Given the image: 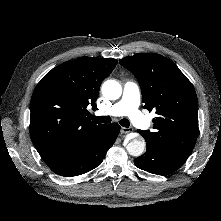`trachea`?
<instances>
[{"label": "trachea", "mask_w": 221, "mask_h": 221, "mask_svg": "<svg viewBox=\"0 0 221 221\" xmlns=\"http://www.w3.org/2000/svg\"><path fill=\"white\" fill-rule=\"evenodd\" d=\"M89 118L95 122H99V123H110L111 122V118L108 116H93V115H89ZM120 125L123 127L128 128L130 126V122L127 119H121L119 121Z\"/></svg>", "instance_id": "1"}]
</instances>
